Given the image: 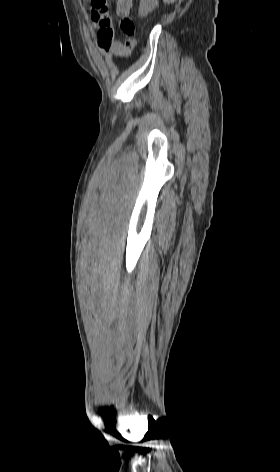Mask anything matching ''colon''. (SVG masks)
<instances>
[{
    "label": "colon",
    "mask_w": 280,
    "mask_h": 472,
    "mask_svg": "<svg viewBox=\"0 0 280 472\" xmlns=\"http://www.w3.org/2000/svg\"><path fill=\"white\" fill-rule=\"evenodd\" d=\"M113 1L114 0H91L92 19L95 23L101 26L109 23L108 8ZM120 28L126 36L128 46L132 48L134 46L133 36L135 34L134 22L129 17H122L120 19Z\"/></svg>",
    "instance_id": "colon-1"
}]
</instances>
